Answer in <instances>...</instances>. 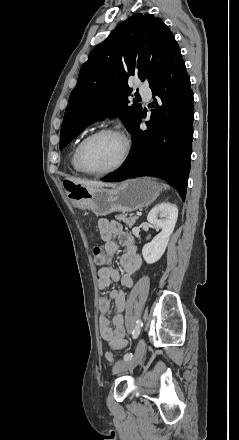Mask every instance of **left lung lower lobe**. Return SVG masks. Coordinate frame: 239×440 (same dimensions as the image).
<instances>
[{"label":"left lung lower lobe","instance_id":"0a47b994","mask_svg":"<svg viewBox=\"0 0 239 440\" xmlns=\"http://www.w3.org/2000/svg\"><path fill=\"white\" fill-rule=\"evenodd\" d=\"M155 98L147 130L139 129V120L130 130L133 149L125 166L102 178L118 182L139 176H156L176 183L185 199L193 140V93L180 48L175 44L160 74L149 83ZM162 104L161 106L158 104ZM154 104L156 106H154Z\"/></svg>","mask_w":239,"mask_h":440}]
</instances>
